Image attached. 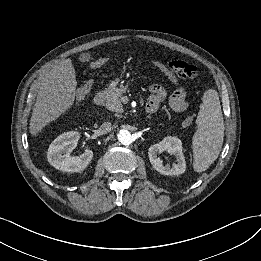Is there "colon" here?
<instances>
[{
	"mask_svg": "<svg viewBox=\"0 0 261 261\" xmlns=\"http://www.w3.org/2000/svg\"><path fill=\"white\" fill-rule=\"evenodd\" d=\"M108 59L105 58L104 61ZM168 70L175 80L180 79H193L197 76V68L193 65L187 64L180 60H173L168 63ZM91 87L90 83H86L80 88L77 89L76 98L78 100L83 99L89 92ZM188 121H191V117L187 118Z\"/></svg>",
	"mask_w": 261,
	"mask_h": 261,
	"instance_id": "colon-1",
	"label": "colon"
}]
</instances>
